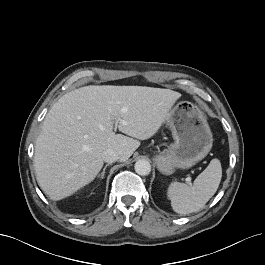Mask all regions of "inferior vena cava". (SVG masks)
I'll return each mask as SVG.
<instances>
[{"mask_svg": "<svg viewBox=\"0 0 265 265\" xmlns=\"http://www.w3.org/2000/svg\"><path fill=\"white\" fill-rule=\"evenodd\" d=\"M103 161L107 163H113L119 159V154L112 149H107L102 154Z\"/></svg>", "mask_w": 265, "mask_h": 265, "instance_id": "obj_1", "label": "inferior vena cava"}]
</instances>
